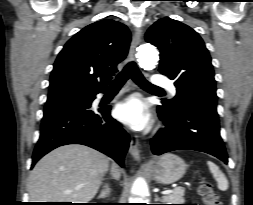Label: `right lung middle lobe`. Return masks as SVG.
Segmentation results:
<instances>
[{"label":"right lung middle lobe","mask_w":253,"mask_h":205,"mask_svg":"<svg viewBox=\"0 0 253 205\" xmlns=\"http://www.w3.org/2000/svg\"><path fill=\"white\" fill-rule=\"evenodd\" d=\"M89 101H90V97L67 98V99L47 102L45 105V108L52 107V106H60V105H73V104L83 105L85 103H88Z\"/></svg>","instance_id":"right-lung-middle-lobe-1"}]
</instances>
